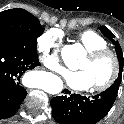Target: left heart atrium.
Segmentation results:
<instances>
[{
  "instance_id": "left-heart-atrium-1",
  "label": "left heart atrium",
  "mask_w": 124,
  "mask_h": 124,
  "mask_svg": "<svg viewBox=\"0 0 124 124\" xmlns=\"http://www.w3.org/2000/svg\"><path fill=\"white\" fill-rule=\"evenodd\" d=\"M63 77L67 85L75 90H87L92 87L90 75L85 70L64 71Z\"/></svg>"
}]
</instances>
